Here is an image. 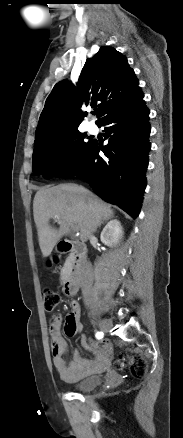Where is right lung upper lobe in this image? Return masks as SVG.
<instances>
[{
    "instance_id": "1",
    "label": "right lung upper lobe",
    "mask_w": 183,
    "mask_h": 438,
    "mask_svg": "<svg viewBox=\"0 0 183 438\" xmlns=\"http://www.w3.org/2000/svg\"><path fill=\"white\" fill-rule=\"evenodd\" d=\"M138 84L127 58L112 47H101L86 60L77 83L78 96L66 80L54 86L40 115L35 140L78 129L87 115L80 109L82 105L98 107L99 124L113 110L142 94Z\"/></svg>"
}]
</instances>
